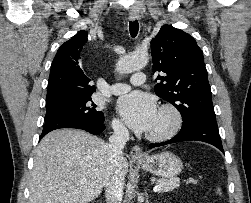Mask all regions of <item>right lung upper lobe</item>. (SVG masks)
Returning <instances> with one entry per match:
<instances>
[{
  "label": "right lung upper lobe",
  "instance_id": "right-lung-upper-lobe-1",
  "mask_svg": "<svg viewBox=\"0 0 251 203\" xmlns=\"http://www.w3.org/2000/svg\"><path fill=\"white\" fill-rule=\"evenodd\" d=\"M87 35L81 30L58 49L51 65L46 108L89 98L95 91L82 70L80 57Z\"/></svg>",
  "mask_w": 251,
  "mask_h": 203
}]
</instances>
